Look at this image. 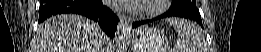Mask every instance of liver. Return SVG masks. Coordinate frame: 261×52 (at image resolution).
Returning <instances> with one entry per match:
<instances>
[{"mask_svg":"<svg viewBox=\"0 0 261 52\" xmlns=\"http://www.w3.org/2000/svg\"><path fill=\"white\" fill-rule=\"evenodd\" d=\"M105 35L98 24L79 15H57L42 23L34 52H103Z\"/></svg>","mask_w":261,"mask_h":52,"instance_id":"6515ba94","label":"liver"}]
</instances>
